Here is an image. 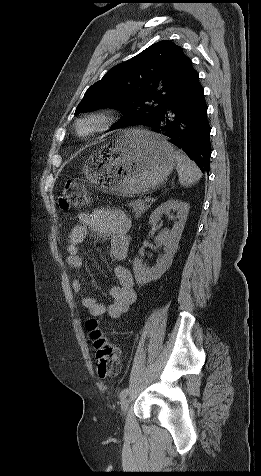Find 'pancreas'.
<instances>
[{
  "label": "pancreas",
  "instance_id": "obj_1",
  "mask_svg": "<svg viewBox=\"0 0 261 476\" xmlns=\"http://www.w3.org/2000/svg\"><path fill=\"white\" fill-rule=\"evenodd\" d=\"M131 207L135 218H139L143 213H145V211L150 208V205L145 204V202L142 200H136L131 203Z\"/></svg>",
  "mask_w": 261,
  "mask_h": 476
}]
</instances>
